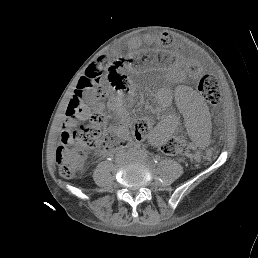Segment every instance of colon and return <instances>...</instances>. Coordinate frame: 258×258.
<instances>
[{
	"instance_id": "5ec220e1",
	"label": "colon",
	"mask_w": 258,
	"mask_h": 258,
	"mask_svg": "<svg viewBox=\"0 0 258 258\" xmlns=\"http://www.w3.org/2000/svg\"><path fill=\"white\" fill-rule=\"evenodd\" d=\"M164 46L171 44L167 36L160 38ZM104 75L110 84L117 90H127L129 87L128 77L124 71L122 62H107L99 60L92 63L86 70L78 84L77 93L68 106V118L70 124L65 128L64 140L56 151V161L60 174L65 178L74 177L84 166L87 153L99 147H117L121 144L123 133L120 131L111 133L107 139L102 140L100 125L103 122L102 115L93 110L90 112L89 105L83 101L96 104L105 96ZM200 94L210 103L217 104L220 101L219 83L215 76L204 75L198 84ZM88 103V104H89ZM90 112L89 123L76 126L78 111L81 108ZM153 122L149 118H139L134 125L135 134L146 136L152 128ZM162 151L171 156L185 155L187 152L186 142L181 136L168 138L161 147Z\"/></svg>"
}]
</instances>
